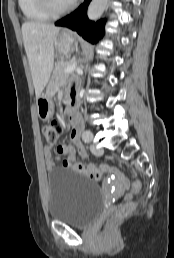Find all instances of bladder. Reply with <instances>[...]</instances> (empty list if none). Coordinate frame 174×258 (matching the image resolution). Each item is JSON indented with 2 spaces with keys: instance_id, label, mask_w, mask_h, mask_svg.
Returning a JSON list of instances; mask_svg holds the SVG:
<instances>
[{
  "instance_id": "obj_1",
  "label": "bladder",
  "mask_w": 174,
  "mask_h": 258,
  "mask_svg": "<svg viewBox=\"0 0 174 258\" xmlns=\"http://www.w3.org/2000/svg\"><path fill=\"white\" fill-rule=\"evenodd\" d=\"M48 192L50 218L72 226H88L104 209L101 188L70 169H53L48 173Z\"/></svg>"
}]
</instances>
